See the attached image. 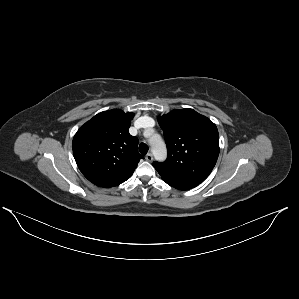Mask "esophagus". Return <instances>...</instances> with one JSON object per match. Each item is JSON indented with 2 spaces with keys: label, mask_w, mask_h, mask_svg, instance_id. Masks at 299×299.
Returning <instances> with one entry per match:
<instances>
[{
  "label": "esophagus",
  "mask_w": 299,
  "mask_h": 299,
  "mask_svg": "<svg viewBox=\"0 0 299 299\" xmlns=\"http://www.w3.org/2000/svg\"><path fill=\"white\" fill-rule=\"evenodd\" d=\"M145 159L148 161V162H152L153 161V155L151 153L147 154L145 156Z\"/></svg>",
  "instance_id": "obj_1"
}]
</instances>
